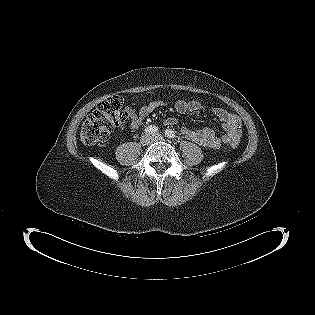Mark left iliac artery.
Here are the masks:
<instances>
[{
  "label": "left iliac artery",
  "instance_id": "left-iliac-artery-1",
  "mask_svg": "<svg viewBox=\"0 0 315 315\" xmlns=\"http://www.w3.org/2000/svg\"><path fill=\"white\" fill-rule=\"evenodd\" d=\"M165 136L168 137V138L174 139L176 137V134H175V132L173 130L167 129L165 131Z\"/></svg>",
  "mask_w": 315,
  "mask_h": 315
}]
</instances>
